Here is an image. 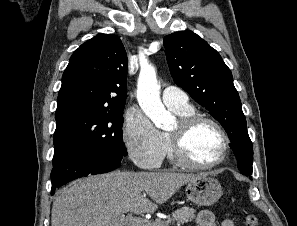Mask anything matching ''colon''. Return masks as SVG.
<instances>
[{
    "mask_svg": "<svg viewBox=\"0 0 297 226\" xmlns=\"http://www.w3.org/2000/svg\"><path fill=\"white\" fill-rule=\"evenodd\" d=\"M245 226H257L258 218L254 214H248L244 219Z\"/></svg>",
    "mask_w": 297,
    "mask_h": 226,
    "instance_id": "colon-1",
    "label": "colon"
}]
</instances>
